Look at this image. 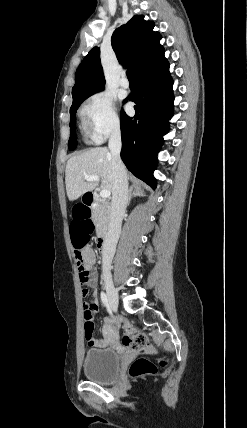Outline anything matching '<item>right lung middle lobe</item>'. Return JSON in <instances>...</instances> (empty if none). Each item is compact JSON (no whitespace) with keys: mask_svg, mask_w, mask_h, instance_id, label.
<instances>
[{"mask_svg":"<svg viewBox=\"0 0 247 428\" xmlns=\"http://www.w3.org/2000/svg\"><path fill=\"white\" fill-rule=\"evenodd\" d=\"M89 96L83 98L82 100L74 103L70 108V139L68 142V148L69 150H74L76 148V135H75V115L76 111L81 105V103L87 99Z\"/></svg>","mask_w":247,"mask_h":428,"instance_id":"dd1d6c3e","label":"right lung middle lobe"}]
</instances>
